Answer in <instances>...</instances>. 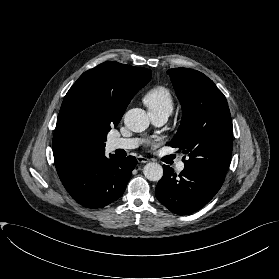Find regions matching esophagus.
I'll use <instances>...</instances> for the list:
<instances>
[{
  "mask_svg": "<svg viewBox=\"0 0 279 279\" xmlns=\"http://www.w3.org/2000/svg\"><path fill=\"white\" fill-rule=\"evenodd\" d=\"M137 161L139 163H147V162H149V159H147L146 157H143V156H138Z\"/></svg>",
  "mask_w": 279,
  "mask_h": 279,
  "instance_id": "obj_1",
  "label": "esophagus"
}]
</instances>
